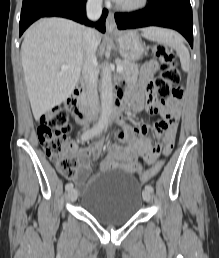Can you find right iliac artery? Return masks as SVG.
Returning <instances> with one entry per match:
<instances>
[{
	"label": "right iliac artery",
	"mask_w": 219,
	"mask_h": 258,
	"mask_svg": "<svg viewBox=\"0 0 219 258\" xmlns=\"http://www.w3.org/2000/svg\"><path fill=\"white\" fill-rule=\"evenodd\" d=\"M98 133V131L96 129H90L88 131H86L83 135H82V140H87L92 138L93 136H95ZM71 188H73V184L72 183H67L65 186V189L67 191H69Z\"/></svg>",
	"instance_id": "1"
}]
</instances>
